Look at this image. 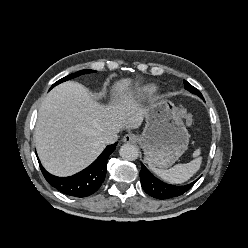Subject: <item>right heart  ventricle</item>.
<instances>
[{
    "label": "right heart ventricle",
    "instance_id": "right-heart-ventricle-1",
    "mask_svg": "<svg viewBox=\"0 0 248 248\" xmlns=\"http://www.w3.org/2000/svg\"><path fill=\"white\" fill-rule=\"evenodd\" d=\"M156 90H157V87L155 85H152V84L142 86L137 90L136 98L143 99V98L155 93Z\"/></svg>",
    "mask_w": 248,
    "mask_h": 248
}]
</instances>
